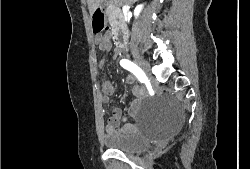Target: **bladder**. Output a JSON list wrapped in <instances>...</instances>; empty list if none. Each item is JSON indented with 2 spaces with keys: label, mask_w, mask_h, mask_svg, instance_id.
<instances>
[{
  "label": "bladder",
  "mask_w": 250,
  "mask_h": 169,
  "mask_svg": "<svg viewBox=\"0 0 250 169\" xmlns=\"http://www.w3.org/2000/svg\"><path fill=\"white\" fill-rule=\"evenodd\" d=\"M103 141L108 150H120L128 153H135L147 150L149 145L148 134L140 133H104Z\"/></svg>",
  "instance_id": "31cf9c89"
}]
</instances>
